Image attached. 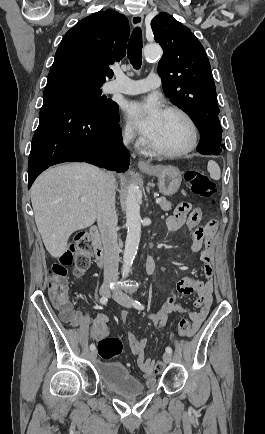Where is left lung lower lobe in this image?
I'll list each match as a JSON object with an SVG mask.
<instances>
[{
    "label": "left lung lower lobe",
    "instance_id": "obj_1",
    "mask_svg": "<svg viewBox=\"0 0 265 434\" xmlns=\"http://www.w3.org/2000/svg\"><path fill=\"white\" fill-rule=\"evenodd\" d=\"M224 149V146H220L217 144H213V142L209 139H202L200 140V143L197 147V151L204 155H219L222 150Z\"/></svg>",
    "mask_w": 265,
    "mask_h": 434
}]
</instances>
